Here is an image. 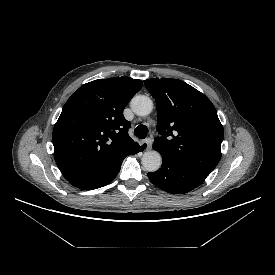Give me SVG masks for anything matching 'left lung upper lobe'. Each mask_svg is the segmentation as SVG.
Returning a JSON list of instances; mask_svg holds the SVG:
<instances>
[{
  "instance_id": "left-lung-upper-lobe-1",
  "label": "left lung upper lobe",
  "mask_w": 275,
  "mask_h": 275,
  "mask_svg": "<svg viewBox=\"0 0 275 275\" xmlns=\"http://www.w3.org/2000/svg\"><path fill=\"white\" fill-rule=\"evenodd\" d=\"M144 83L156 101L162 135L153 148L207 177L220 161L224 137L214 105L181 80L153 78Z\"/></svg>"
}]
</instances>
